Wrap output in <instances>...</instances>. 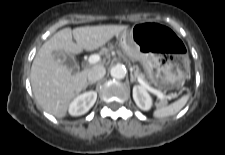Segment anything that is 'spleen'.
Segmentation results:
<instances>
[{"label": "spleen", "instance_id": "spleen-1", "mask_svg": "<svg viewBox=\"0 0 225 155\" xmlns=\"http://www.w3.org/2000/svg\"><path fill=\"white\" fill-rule=\"evenodd\" d=\"M189 97L190 94H187L170 105H161L154 111L153 116L155 118H165L175 115L186 105Z\"/></svg>", "mask_w": 225, "mask_h": 155}]
</instances>
